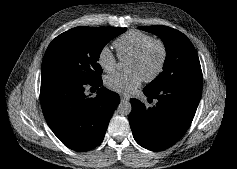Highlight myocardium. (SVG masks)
I'll return each mask as SVG.
<instances>
[{
  "mask_svg": "<svg viewBox=\"0 0 237 169\" xmlns=\"http://www.w3.org/2000/svg\"><path fill=\"white\" fill-rule=\"evenodd\" d=\"M153 46L159 47L160 52H161V57H160L159 64L156 67V69L153 71V73L150 74L149 76L143 78V81H145V82H152L162 73L165 63H166V59H167V47H166L165 43L160 39H152L147 44H145L138 52H136L135 54L130 56V59L141 60L144 58L146 53Z\"/></svg>",
  "mask_w": 237,
  "mask_h": 169,
  "instance_id": "1",
  "label": "myocardium"
}]
</instances>
